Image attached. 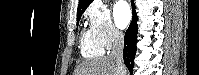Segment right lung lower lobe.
<instances>
[{
    "instance_id": "right-lung-lower-lobe-1",
    "label": "right lung lower lobe",
    "mask_w": 199,
    "mask_h": 75,
    "mask_svg": "<svg viewBox=\"0 0 199 75\" xmlns=\"http://www.w3.org/2000/svg\"><path fill=\"white\" fill-rule=\"evenodd\" d=\"M132 10H133V19L129 25L125 37H124V63L129 69L130 73H133L134 66V57L136 53V42H137V16L135 12L134 0H131Z\"/></svg>"
}]
</instances>
